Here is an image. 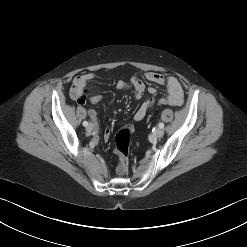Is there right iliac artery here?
<instances>
[{
	"label": "right iliac artery",
	"mask_w": 247,
	"mask_h": 247,
	"mask_svg": "<svg viewBox=\"0 0 247 247\" xmlns=\"http://www.w3.org/2000/svg\"><path fill=\"white\" fill-rule=\"evenodd\" d=\"M87 125H88V122H87V121H84V122H83V126L86 127Z\"/></svg>",
	"instance_id": "right-iliac-artery-1"
}]
</instances>
